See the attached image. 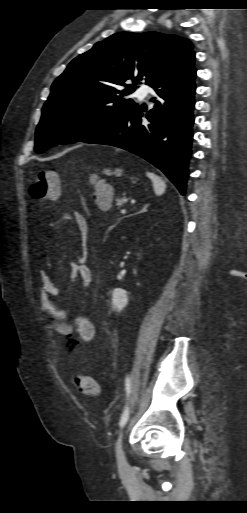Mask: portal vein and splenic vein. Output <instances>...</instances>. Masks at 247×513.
<instances>
[{
  "label": "portal vein and splenic vein",
  "mask_w": 247,
  "mask_h": 513,
  "mask_svg": "<svg viewBox=\"0 0 247 513\" xmlns=\"http://www.w3.org/2000/svg\"><path fill=\"white\" fill-rule=\"evenodd\" d=\"M121 214H122V215L126 214V209H122V210H121Z\"/></svg>",
  "instance_id": "portal-vein-and-splenic-vein-1"
}]
</instances>
